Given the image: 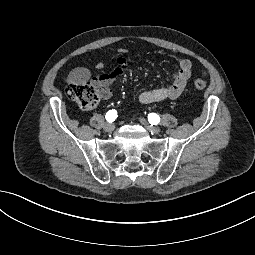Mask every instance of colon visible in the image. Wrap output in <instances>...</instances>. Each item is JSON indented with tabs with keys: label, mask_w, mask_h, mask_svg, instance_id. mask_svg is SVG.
I'll list each match as a JSON object with an SVG mask.
<instances>
[{
	"label": "colon",
	"mask_w": 255,
	"mask_h": 255,
	"mask_svg": "<svg viewBox=\"0 0 255 255\" xmlns=\"http://www.w3.org/2000/svg\"><path fill=\"white\" fill-rule=\"evenodd\" d=\"M194 87L203 90L207 87V82L198 78L194 81ZM66 94L69 99L84 110L94 108L99 101L98 89L92 84H69L66 88Z\"/></svg>",
	"instance_id": "5ec220e1"
}]
</instances>
